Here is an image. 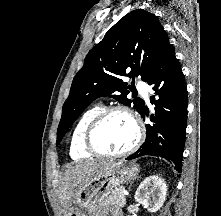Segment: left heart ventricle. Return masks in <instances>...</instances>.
I'll return each mask as SVG.
<instances>
[{
  "mask_svg": "<svg viewBox=\"0 0 221 216\" xmlns=\"http://www.w3.org/2000/svg\"><path fill=\"white\" fill-rule=\"evenodd\" d=\"M136 136L131 119L124 113L109 115L94 134L95 145L103 151L116 153L127 149Z\"/></svg>",
  "mask_w": 221,
  "mask_h": 216,
  "instance_id": "b2bd125f",
  "label": "left heart ventricle"
}]
</instances>
